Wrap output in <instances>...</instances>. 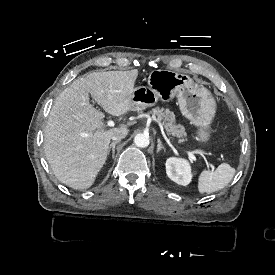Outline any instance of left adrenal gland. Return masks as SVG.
<instances>
[{"mask_svg":"<svg viewBox=\"0 0 275 275\" xmlns=\"http://www.w3.org/2000/svg\"><path fill=\"white\" fill-rule=\"evenodd\" d=\"M157 142H158V144H157V153L161 150V149H163L164 151H165V148H164V146L162 145V142H161V140L160 139H157Z\"/></svg>","mask_w":275,"mask_h":275,"instance_id":"left-adrenal-gland-1","label":"left adrenal gland"}]
</instances>
